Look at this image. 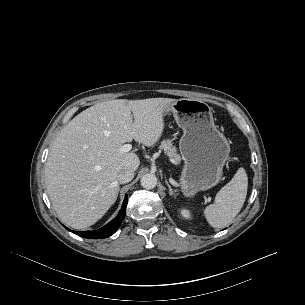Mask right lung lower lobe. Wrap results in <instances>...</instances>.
I'll return each instance as SVG.
<instances>
[{"label":"right lung lower lobe","mask_w":305,"mask_h":305,"mask_svg":"<svg viewBox=\"0 0 305 305\" xmlns=\"http://www.w3.org/2000/svg\"><path fill=\"white\" fill-rule=\"evenodd\" d=\"M128 203L127 195L125 196V199L122 204V209L120 210L119 214L108 224H106L104 227L96 230V231H72L73 233H76L79 236L88 238V239H101V238H107L111 236L113 233H115L120 226L121 222L123 221L125 217V209L126 205Z\"/></svg>","instance_id":"obj_1"}]
</instances>
